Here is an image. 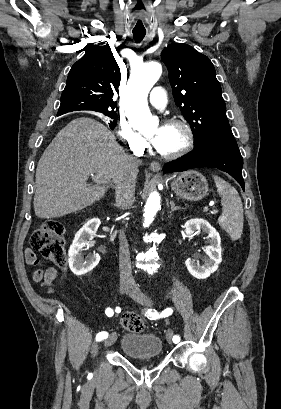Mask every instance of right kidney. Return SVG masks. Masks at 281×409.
Instances as JSON below:
<instances>
[{
  "label": "right kidney",
  "mask_w": 281,
  "mask_h": 409,
  "mask_svg": "<svg viewBox=\"0 0 281 409\" xmlns=\"http://www.w3.org/2000/svg\"><path fill=\"white\" fill-rule=\"evenodd\" d=\"M99 225H101L100 219H88L87 223H84L83 227L77 231L74 237L69 251L71 255V271L77 277L93 271L100 261L98 253H90L87 257H84L83 253L85 251L84 247L90 245L93 235L97 233Z\"/></svg>",
  "instance_id": "ca27d5eb"
}]
</instances>
